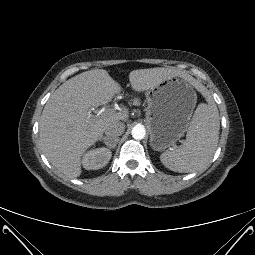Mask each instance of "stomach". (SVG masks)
I'll use <instances>...</instances> for the list:
<instances>
[{
	"label": "stomach",
	"mask_w": 255,
	"mask_h": 255,
	"mask_svg": "<svg viewBox=\"0 0 255 255\" xmlns=\"http://www.w3.org/2000/svg\"><path fill=\"white\" fill-rule=\"evenodd\" d=\"M146 97L150 146L155 151H164L174 146L187 131L196 92L185 79L173 76L152 87Z\"/></svg>",
	"instance_id": "0dacf381"
}]
</instances>
